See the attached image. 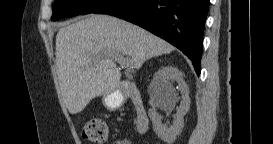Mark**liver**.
Wrapping results in <instances>:
<instances>
[{
    "mask_svg": "<svg viewBox=\"0 0 273 144\" xmlns=\"http://www.w3.org/2000/svg\"><path fill=\"white\" fill-rule=\"evenodd\" d=\"M174 47L145 29L109 15H90L61 27L56 36V71L61 95L71 114L80 113L95 97L115 91L121 73L110 52L127 55L131 66Z\"/></svg>",
    "mask_w": 273,
    "mask_h": 144,
    "instance_id": "obj_1",
    "label": "liver"
}]
</instances>
